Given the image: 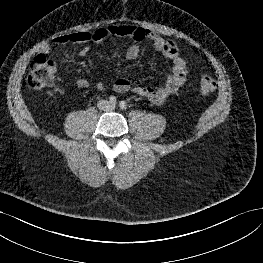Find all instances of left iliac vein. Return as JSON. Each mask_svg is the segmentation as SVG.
Masks as SVG:
<instances>
[{"instance_id": "4c4485c4", "label": "left iliac vein", "mask_w": 263, "mask_h": 263, "mask_svg": "<svg viewBox=\"0 0 263 263\" xmlns=\"http://www.w3.org/2000/svg\"><path fill=\"white\" fill-rule=\"evenodd\" d=\"M115 108V105H111V109H114Z\"/></svg>"}]
</instances>
